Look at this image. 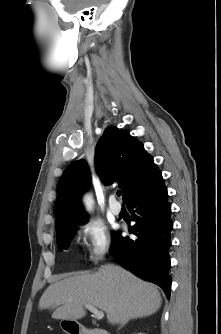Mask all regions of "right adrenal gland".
<instances>
[{
    "mask_svg": "<svg viewBox=\"0 0 221 334\" xmlns=\"http://www.w3.org/2000/svg\"><path fill=\"white\" fill-rule=\"evenodd\" d=\"M125 323H126V322H123L122 325H121V327H122Z\"/></svg>",
    "mask_w": 221,
    "mask_h": 334,
    "instance_id": "obj_1",
    "label": "right adrenal gland"
}]
</instances>
